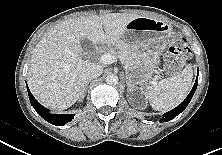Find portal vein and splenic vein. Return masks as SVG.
<instances>
[{
  "mask_svg": "<svg viewBox=\"0 0 222 155\" xmlns=\"http://www.w3.org/2000/svg\"><path fill=\"white\" fill-rule=\"evenodd\" d=\"M116 57L113 56L112 54L110 53H106V54H103L101 57H100V62H102L103 64H112L116 61ZM120 61H124L123 58H120Z\"/></svg>",
  "mask_w": 222,
  "mask_h": 155,
  "instance_id": "1",
  "label": "portal vein and splenic vein"
}]
</instances>
